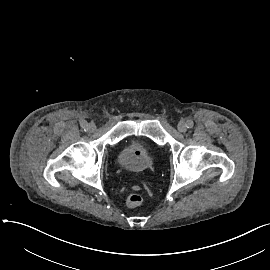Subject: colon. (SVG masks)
Masks as SVG:
<instances>
[{
	"mask_svg": "<svg viewBox=\"0 0 270 270\" xmlns=\"http://www.w3.org/2000/svg\"><path fill=\"white\" fill-rule=\"evenodd\" d=\"M143 200V196L139 192H130L126 196V204L131 207L139 206Z\"/></svg>",
	"mask_w": 270,
	"mask_h": 270,
	"instance_id": "5ec220e1",
	"label": "colon"
}]
</instances>
